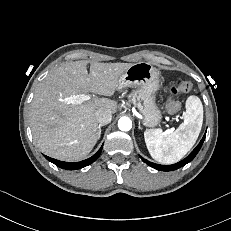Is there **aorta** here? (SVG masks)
<instances>
[{
  "label": "aorta",
  "instance_id": "obj_1",
  "mask_svg": "<svg viewBox=\"0 0 231 231\" xmlns=\"http://www.w3.org/2000/svg\"><path fill=\"white\" fill-rule=\"evenodd\" d=\"M118 127L121 131H129L132 128V122L128 117H122L118 121Z\"/></svg>",
  "mask_w": 231,
  "mask_h": 231
}]
</instances>
